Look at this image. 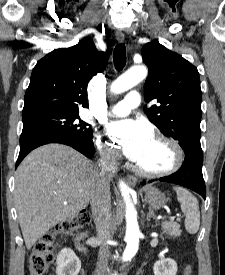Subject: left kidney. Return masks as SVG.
Here are the masks:
<instances>
[{"instance_id": "obj_1", "label": "left kidney", "mask_w": 225, "mask_h": 275, "mask_svg": "<svg viewBox=\"0 0 225 275\" xmlns=\"http://www.w3.org/2000/svg\"><path fill=\"white\" fill-rule=\"evenodd\" d=\"M177 263L171 258H162L153 266L154 275H176Z\"/></svg>"}]
</instances>
